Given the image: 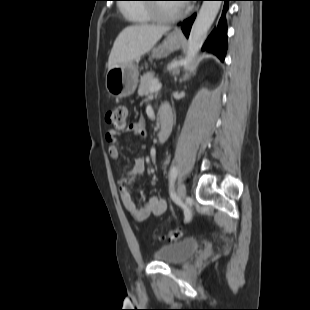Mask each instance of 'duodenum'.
Here are the masks:
<instances>
[{"instance_id":"1","label":"duodenum","mask_w":310,"mask_h":310,"mask_svg":"<svg viewBox=\"0 0 310 310\" xmlns=\"http://www.w3.org/2000/svg\"><path fill=\"white\" fill-rule=\"evenodd\" d=\"M160 128L158 131V141L164 142L168 139L172 131V116L169 110L161 108L159 110Z\"/></svg>"}]
</instances>
